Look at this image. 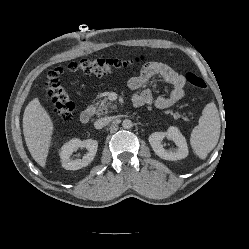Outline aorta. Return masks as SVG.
Listing matches in <instances>:
<instances>
[{"mask_svg": "<svg viewBox=\"0 0 249 249\" xmlns=\"http://www.w3.org/2000/svg\"><path fill=\"white\" fill-rule=\"evenodd\" d=\"M122 126H123L125 129H130V128L133 126V123H132L131 120L125 119V120L122 122Z\"/></svg>", "mask_w": 249, "mask_h": 249, "instance_id": "obj_1", "label": "aorta"}]
</instances>
